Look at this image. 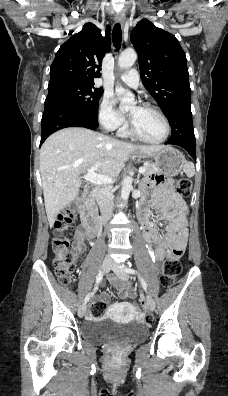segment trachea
I'll use <instances>...</instances> for the list:
<instances>
[{"mask_svg":"<svg viewBox=\"0 0 228 396\" xmlns=\"http://www.w3.org/2000/svg\"><path fill=\"white\" fill-rule=\"evenodd\" d=\"M112 40L115 48H119L122 42V31L119 23L115 24L112 31Z\"/></svg>","mask_w":228,"mask_h":396,"instance_id":"trachea-1","label":"trachea"}]
</instances>
